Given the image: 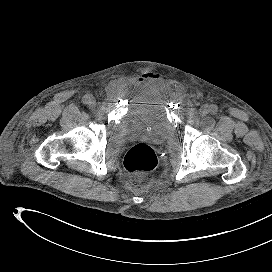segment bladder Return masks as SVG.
<instances>
[{"mask_svg":"<svg viewBox=\"0 0 272 272\" xmlns=\"http://www.w3.org/2000/svg\"><path fill=\"white\" fill-rule=\"evenodd\" d=\"M124 122L129 137L145 138L154 143L164 142L170 132V122L164 104L152 99L134 103Z\"/></svg>","mask_w":272,"mask_h":272,"instance_id":"1","label":"bladder"}]
</instances>
